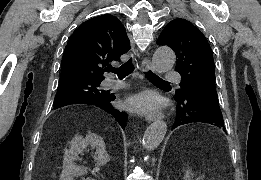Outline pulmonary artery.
I'll list each match as a JSON object with an SVG mask.
<instances>
[{
  "mask_svg": "<svg viewBox=\"0 0 261 180\" xmlns=\"http://www.w3.org/2000/svg\"><path fill=\"white\" fill-rule=\"evenodd\" d=\"M163 77H181V72H163L162 73ZM167 83H180L181 79L180 78H167L166 79ZM103 86L111 89H118L123 86L122 82H119L114 79L107 78L103 81Z\"/></svg>",
  "mask_w": 261,
  "mask_h": 180,
  "instance_id": "1",
  "label": "pulmonary artery"
}]
</instances>
